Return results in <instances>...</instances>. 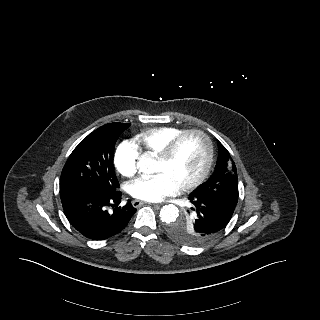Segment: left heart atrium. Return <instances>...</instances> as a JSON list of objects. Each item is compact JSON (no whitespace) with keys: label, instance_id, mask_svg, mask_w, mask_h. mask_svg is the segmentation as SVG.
<instances>
[{"label":"left heart atrium","instance_id":"obj_1","mask_svg":"<svg viewBox=\"0 0 320 320\" xmlns=\"http://www.w3.org/2000/svg\"><path fill=\"white\" fill-rule=\"evenodd\" d=\"M179 187L166 174H157L153 177H141L129 185L132 197L143 201H159L165 196L174 195Z\"/></svg>","mask_w":320,"mask_h":320}]
</instances>
